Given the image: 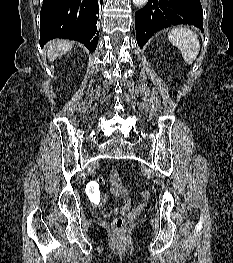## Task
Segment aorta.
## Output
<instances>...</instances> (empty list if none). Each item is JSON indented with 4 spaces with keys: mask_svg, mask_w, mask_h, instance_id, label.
Segmentation results:
<instances>
[{
    "mask_svg": "<svg viewBox=\"0 0 233 263\" xmlns=\"http://www.w3.org/2000/svg\"><path fill=\"white\" fill-rule=\"evenodd\" d=\"M135 6L142 7L144 6L148 0H132Z\"/></svg>",
    "mask_w": 233,
    "mask_h": 263,
    "instance_id": "1",
    "label": "aorta"
}]
</instances>
